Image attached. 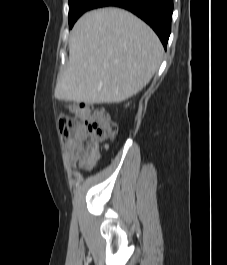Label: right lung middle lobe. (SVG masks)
Segmentation results:
<instances>
[{
	"mask_svg": "<svg viewBox=\"0 0 227 265\" xmlns=\"http://www.w3.org/2000/svg\"><path fill=\"white\" fill-rule=\"evenodd\" d=\"M96 0H69V27L72 28L76 20L90 10Z\"/></svg>",
	"mask_w": 227,
	"mask_h": 265,
	"instance_id": "dd1d6c3e",
	"label": "right lung middle lobe"
}]
</instances>
